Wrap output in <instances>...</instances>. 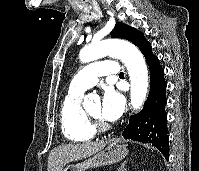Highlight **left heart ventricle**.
<instances>
[{
  "instance_id": "1",
  "label": "left heart ventricle",
  "mask_w": 199,
  "mask_h": 171,
  "mask_svg": "<svg viewBox=\"0 0 199 171\" xmlns=\"http://www.w3.org/2000/svg\"><path fill=\"white\" fill-rule=\"evenodd\" d=\"M91 114L100 117V103H96L94 104L89 110H88Z\"/></svg>"
}]
</instances>
